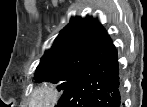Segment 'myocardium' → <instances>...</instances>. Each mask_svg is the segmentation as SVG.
<instances>
[{
  "mask_svg": "<svg viewBox=\"0 0 147 107\" xmlns=\"http://www.w3.org/2000/svg\"><path fill=\"white\" fill-rule=\"evenodd\" d=\"M58 96L59 90L54 84L44 83L35 89L30 102L42 106H48L55 103Z\"/></svg>",
  "mask_w": 147,
  "mask_h": 107,
  "instance_id": "1",
  "label": "myocardium"
}]
</instances>
